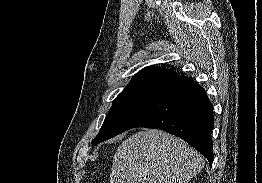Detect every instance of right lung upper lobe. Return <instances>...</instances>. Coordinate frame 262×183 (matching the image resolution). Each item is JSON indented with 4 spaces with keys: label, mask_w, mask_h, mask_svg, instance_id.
<instances>
[{
    "label": "right lung upper lobe",
    "mask_w": 262,
    "mask_h": 183,
    "mask_svg": "<svg viewBox=\"0 0 262 183\" xmlns=\"http://www.w3.org/2000/svg\"><path fill=\"white\" fill-rule=\"evenodd\" d=\"M176 72L158 67L149 66L140 70L121 93L135 91H159L170 82L180 78Z\"/></svg>",
    "instance_id": "1"
}]
</instances>
